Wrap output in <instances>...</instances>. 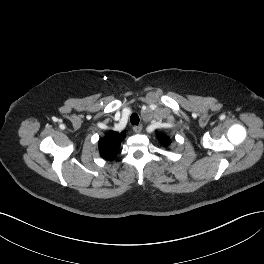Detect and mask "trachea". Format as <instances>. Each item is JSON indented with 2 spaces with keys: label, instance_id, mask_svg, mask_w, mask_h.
I'll list each match as a JSON object with an SVG mask.
<instances>
[{
  "label": "trachea",
  "instance_id": "trachea-1",
  "mask_svg": "<svg viewBox=\"0 0 264 264\" xmlns=\"http://www.w3.org/2000/svg\"><path fill=\"white\" fill-rule=\"evenodd\" d=\"M130 122L132 125H138L139 124V116L136 113H133L130 117Z\"/></svg>",
  "mask_w": 264,
  "mask_h": 264
}]
</instances>
